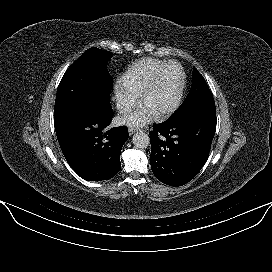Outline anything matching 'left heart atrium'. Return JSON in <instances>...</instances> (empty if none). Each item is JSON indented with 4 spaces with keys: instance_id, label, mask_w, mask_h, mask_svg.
<instances>
[{
    "instance_id": "left-heart-atrium-1",
    "label": "left heart atrium",
    "mask_w": 272,
    "mask_h": 272,
    "mask_svg": "<svg viewBox=\"0 0 272 272\" xmlns=\"http://www.w3.org/2000/svg\"><path fill=\"white\" fill-rule=\"evenodd\" d=\"M155 113L146 105L138 107L133 112L126 114L122 121L128 125L142 126L155 117Z\"/></svg>"
}]
</instances>
